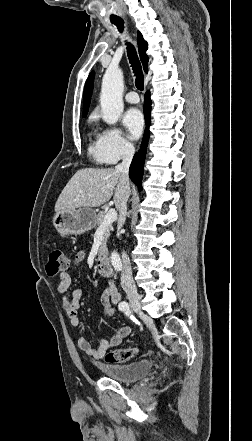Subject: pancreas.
Returning a JSON list of instances; mask_svg holds the SVG:
<instances>
[{"label":"pancreas","instance_id":"pancreas-1","mask_svg":"<svg viewBox=\"0 0 252 441\" xmlns=\"http://www.w3.org/2000/svg\"><path fill=\"white\" fill-rule=\"evenodd\" d=\"M105 217V213L103 211L99 212L98 215L96 216L95 219V224L94 227H99L101 226L103 220ZM112 231V225H108L104 235H103V240L101 242L100 248H99V254H98V261H101L103 259V257H105L108 254V250H107V240L110 236V232Z\"/></svg>","mask_w":252,"mask_h":441}]
</instances>
